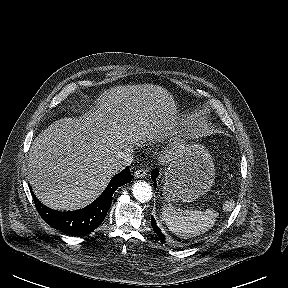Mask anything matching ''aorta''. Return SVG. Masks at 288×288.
<instances>
[{
	"label": "aorta",
	"mask_w": 288,
	"mask_h": 288,
	"mask_svg": "<svg viewBox=\"0 0 288 288\" xmlns=\"http://www.w3.org/2000/svg\"><path fill=\"white\" fill-rule=\"evenodd\" d=\"M132 194L139 202H147L152 198V188L145 181H136L132 187Z\"/></svg>",
	"instance_id": "obj_1"
}]
</instances>
